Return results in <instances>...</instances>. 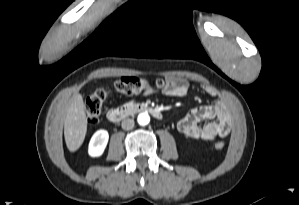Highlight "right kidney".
<instances>
[{"mask_svg":"<svg viewBox=\"0 0 299 205\" xmlns=\"http://www.w3.org/2000/svg\"><path fill=\"white\" fill-rule=\"evenodd\" d=\"M109 134L106 130H98L92 136L89 147L88 153L91 157H99L103 154L106 145L108 143Z\"/></svg>","mask_w":299,"mask_h":205,"instance_id":"ca27d5eb","label":"right kidney"}]
</instances>
